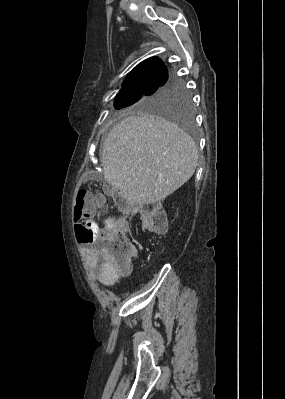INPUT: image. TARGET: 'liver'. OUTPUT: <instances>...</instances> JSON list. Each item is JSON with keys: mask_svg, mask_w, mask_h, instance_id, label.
Returning a JSON list of instances; mask_svg holds the SVG:
<instances>
[{"mask_svg": "<svg viewBox=\"0 0 285 399\" xmlns=\"http://www.w3.org/2000/svg\"><path fill=\"white\" fill-rule=\"evenodd\" d=\"M100 161L109 185L126 200L146 205L164 200L192 177L198 149L164 118L129 116L109 132Z\"/></svg>", "mask_w": 285, "mask_h": 399, "instance_id": "1", "label": "liver"}]
</instances>
